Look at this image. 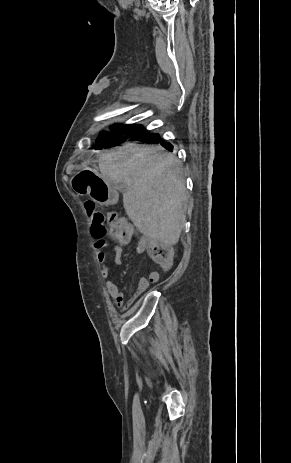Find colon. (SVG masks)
I'll return each instance as SVG.
<instances>
[{
  "instance_id": "1",
  "label": "colon",
  "mask_w": 291,
  "mask_h": 463,
  "mask_svg": "<svg viewBox=\"0 0 291 463\" xmlns=\"http://www.w3.org/2000/svg\"><path fill=\"white\" fill-rule=\"evenodd\" d=\"M85 208L92 221L91 235L95 240V247L103 248L106 244L105 239L109 235L117 240L136 237L132 224L118 213L105 212L90 200L85 203ZM138 239L141 250L147 251L162 269H169L172 266L174 253L170 246L144 236H139Z\"/></svg>"
}]
</instances>
